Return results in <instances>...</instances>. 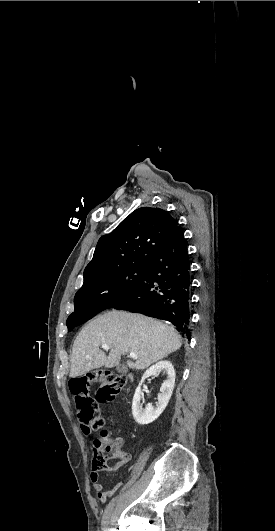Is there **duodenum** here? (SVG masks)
<instances>
[{
  "mask_svg": "<svg viewBox=\"0 0 275 531\" xmlns=\"http://www.w3.org/2000/svg\"><path fill=\"white\" fill-rule=\"evenodd\" d=\"M129 380H130V381L132 382V381H133V378H132V377H130V378H129Z\"/></svg>",
  "mask_w": 275,
  "mask_h": 531,
  "instance_id": "1",
  "label": "duodenum"
}]
</instances>
